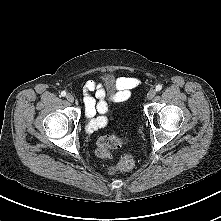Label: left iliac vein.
<instances>
[{
    "mask_svg": "<svg viewBox=\"0 0 221 221\" xmlns=\"http://www.w3.org/2000/svg\"><path fill=\"white\" fill-rule=\"evenodd\" d=\"M156 95V91L154 89H151L147 94V99L152 100Z\"/></svg>",
    "mask_w": 221,
    "mask_h": 221,
    "instance_id": "left-iliac-vein-1",
    "label": "left iliac vein"
}]
</instances>
